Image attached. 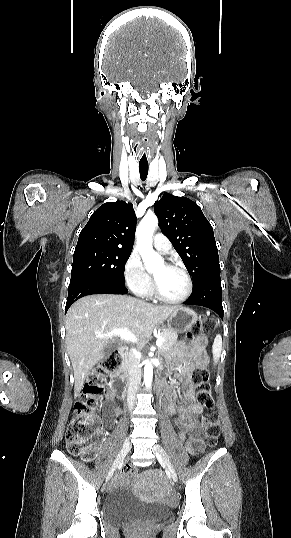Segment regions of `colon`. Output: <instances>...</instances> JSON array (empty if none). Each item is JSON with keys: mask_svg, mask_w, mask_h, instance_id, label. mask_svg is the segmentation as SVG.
<instances>
[{"mask_svg": "<svg viewBox=\"0 0 291 538\" xmlns=\"http://www.w3.org/2000/svg\"><path fill=\"white\" fill-rule=\"evenodd\" d=\"M213 326L211 318L203 317L187 333L185 340L190 342L197 336L210 332ZM121 363L122 356L118 351H115L88 375L82 393L75 404L74 416L66 431V445L72 454L80 455L87 460L94 457L101 434V427L95 412L100 402L104 382L119 371ZM191 378L197 389L199 405L210 410V412L203 415L202 426L208 446L214 447L218 442L220 424L218 414L212 411L215 403L212 397L205 357L200 356L197 359V366ZM125 473L132 476L135 473V468H128Z\"/></svg>", "mask_w": 291, "mask_h": 538, "instance_id": "1", "label": "colon"}]
</instances>
